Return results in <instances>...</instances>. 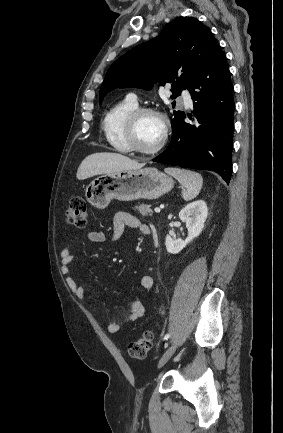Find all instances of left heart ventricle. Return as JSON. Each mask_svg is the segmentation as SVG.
I'll use <instances>...</instances> for the list:
<instances>
[{
  "mask_svg": "<svg viewBox=\"0 0 283 433\" xmlns=\"http://www.w3.org/2000/svg\"><path fill=\"white\" fill-rule=\"evenodd\" d=\"M163 123L155 115L147 114L143 116L137 127V141L140 147L151 151L154 150L162 135Z\"/></svg>",
  "mask_w": 283,
  "mask_h": 433,
  "instance_id": "obj_1",
  "label": "left heart ventricle"
}]
</instances>
